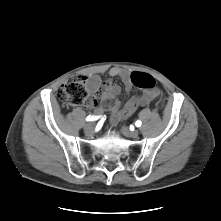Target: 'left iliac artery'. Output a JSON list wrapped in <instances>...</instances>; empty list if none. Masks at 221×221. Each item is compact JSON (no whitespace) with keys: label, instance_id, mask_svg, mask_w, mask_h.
<instances>
[{"label":"left iliac artery","instance_id":"left-iliac-artery-1","mask_svg":"<svg viewBox=\"0 0 221 221\" xmlns=\"http://www.w3.org/2000/svg\"><path fill=\"white\" fill-rule=\"evenodd\" d=\"M141 124H142V122H141L140 120H137L136 123H135V125H136L137 127H140Z\"/></svg>","mask_w":221,"mask_h":221}]
</instances>
